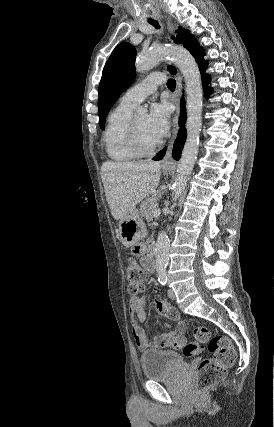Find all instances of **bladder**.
<instances>
[{"mask_svg":"<svg viewBox=\"0 0 274 427\" xmlns=\"http://www.w3.org/2000/svg\"><path fill=\"white\" fill-rule=\"evenodd\" d=\"M179 361L178 352L165 349H150L140 355L143 373L148 380L171 377L179 368Z\"/></svg>","mask_w":274,"mask_h":427,"instance_id":"31cf9c89","label":"bladder"}]
</instances>
